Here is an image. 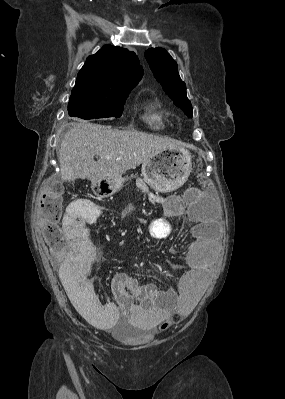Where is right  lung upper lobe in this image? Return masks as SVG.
<instances>
[{
  "instance_id": "cb5924a9",
  "label": "right lung upper lobe",
  "mask_w": 285,
  "mask_h": 399,
  "mask_svg": "<svg viewBox=\"0 0 285 399\" xmlns=\"http://www.w3.org/2000/svg\"><path fill=\"white\" fill-rule=\"evenodd\" d=\"M143 75L138 57L122 47L105 45L87 58L71 96H103L130 92Z\"/></svg>"
}]
</instances>
